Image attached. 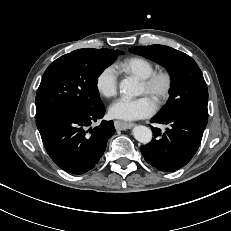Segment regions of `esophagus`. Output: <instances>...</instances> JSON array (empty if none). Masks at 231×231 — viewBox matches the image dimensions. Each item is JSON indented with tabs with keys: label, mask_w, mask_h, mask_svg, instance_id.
<instances>
[{
	"label": "esophagus",
	"mask_w": 231,
	"mask_h": 231,
	"mask_svg": "<svg viewBox=\"0 0 231 231\" xmlns=\"http://www.w3.org/2000/svg\"><path fill=\"white\" fill-rule=\"evenodd\" d=\"M134 123H130V122H122V121H115V128L117 130H126V129H130L134 126Z\"/></svg>",
	"instance_id": "esophagus-1"
}]
</instances>
